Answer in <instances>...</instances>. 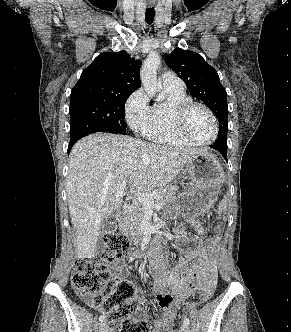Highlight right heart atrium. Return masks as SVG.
<instances>
[{
    "label": "right heart atrium",
    "instance_id": "right-heart-atrium-1",
    "mask_svg": "<svg viewBox=\"0 0 291 332\" xmlns=\"http://www.w3.org/2000/svg\"><path fill=\"white\" fill-rule=\"evenodd\" d=\"M125 116L128 124L134 130H141L147 125L150 117V106L148 97L142 89L136 90L127 100Z\"/></svg>",
    "mask_w": 291,
    "mask_h": 332
}]
</instances>
